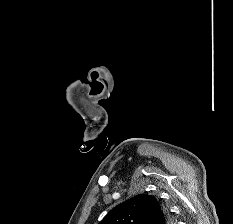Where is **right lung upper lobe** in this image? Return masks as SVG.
I'll list each match as a JSON object with an SVG mask.
<instances>
[{
    "label": "right lung upper lobe",
    "instance_id": "right-lung-upper-lobe-1",
    "mask_svg": "<svg viewBox=\"0 0 233 224\" xmlns=\"http://www.w3.org/2000/svg\"><path fill=\"white\" fill-rule=\"evenodd\" d=\"M170 223V215L154 196L140 194L113 208L98 224Z\"/></svg>",
    "mask_w": 233,
    "mask_h": 224
}]
</instances>
